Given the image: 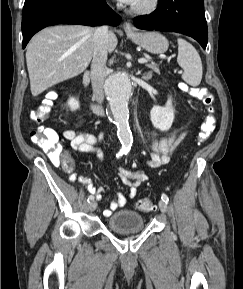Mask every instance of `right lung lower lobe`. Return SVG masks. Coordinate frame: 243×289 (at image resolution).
Returning <instances> with one entry per match:
<instances>
[{"mask_svg": "<svg viewBox=\"0 0 243 289\" xmlns=\"http://www.w3.org/2000/svg\"><path fill=\"white\" fill-rule=\"evenodd\" d=\"M120 20L105 0H25L22 13V46L25 48L36 32L50 25H117Z\"/></svg>", "mask_w": 243, "mask_h": 289, "instance_id": "right-lung-lower-lobe-1", "label": "right lung lower lobe"}]
</instances>
